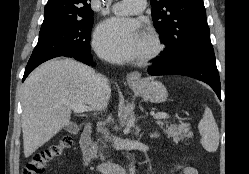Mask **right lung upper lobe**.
I'll list each match as a JSON object with an SVG mask.
<instances>
[{"label": "right lung upper lobe", "mask_w": 249, "mask_h": 174, "mask_svg": "<svg viewBox=\"0 0 249 174\" xmlns=\"http://www.w3.org/2000/svg\"><path fill=\"white\" fill-rule=\"evenodd\" d=\"M91 0H48L42 27L93 17Z\"/></svg>", "instance_id": "right-lung-upper-lobe-1"}]
</instances>
